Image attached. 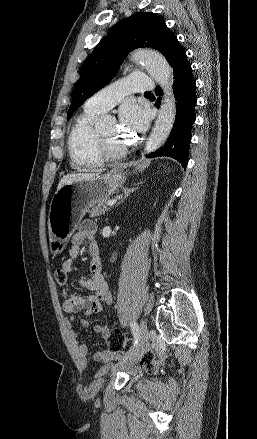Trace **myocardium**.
I'll list each match as a JSON object with an SVG mask.
<instances>
[{
  "label": "myocardium",
  "mask_w": 257,
  "mask_h": 439,
  "mask_svg": "<svg viewBox=\"0 0 257 439\" xmlns=\"http://www.w3.org/2000/svg\"><path fill=\"white\" fill-rule=\"evenodd\" d=\"M98 147L102 153L103 158L105 159H117L122 157L127 152L126 146H121L118 148L111 147L102 133H98L97 138Z\"/></svg>",
  "instance_id": "1"
}]
</instances>
